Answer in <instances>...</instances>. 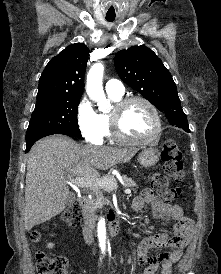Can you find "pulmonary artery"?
Returning a JSON list of instances; mask_svg holds the SVG:
<instances>
[{
  "mask_svg": "<svg viewBox=\"0 0 221 274\" xmlns=\"http://www.w3.org/2000/svg\"><path fill=\"white\" fill-rule=\"evenodd\" d=\"M106 92L108 94L122 96L125 92L123 83L117 79H110L105 85Z\"/></svg>",
  "mask_w": 221,
  "mask_h": 274,
  "instance_id": "e3ab8cb5",
  "label": "pulmonary artery"
}]
</instances>
